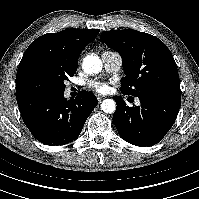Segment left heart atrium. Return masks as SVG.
Segmentation results:
<instances>
[{"mask_svg": "<svg viewBox=\"0 0 199 199\" xmlns=\"http://www.w3.org/2000/svg\"><path fill=\"white\" fill-rule=\"evenodd\" d=\"M89 85L92 89H94L100 93L107 92L109 89V87L106 83L99 82V81H92Z\"/></svg>", "mask_w": 199, "mask_h": 199, "instance_id": "left-heart-atrium-1", "label": "left heart atrium"}]
</instances>
